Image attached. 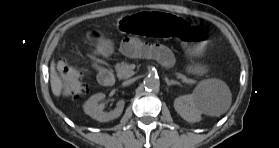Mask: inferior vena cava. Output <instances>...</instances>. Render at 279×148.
<instances>
[{"mask_svg":"<svg viewBox=\"0 0 279 148\" xmlns=\"http://www.w3.org/2000/svg\"><path fill=\"white\" fill-rule=\"evenodd\" d=\"M132 82H134V79H130L124 82V85H130Z\"/></svg>","mask_w":279,"mask_h":148,"instance_id":"inferior-vena-cava-1","label":"inferior vena cava"}]
</instances>
